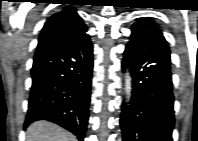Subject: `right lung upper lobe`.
<instances>
[{
    "mask_svg": "<svg viewBox=\"0 0 198 141\" xmlns=\"http://www.w3.org/2000/svg\"><path fill=\"white\" fill-rule=\"evenodd\" d=\"M86 31V25L76 11L64 8L46 21L39 36L36 54L68 43Z\"/></svg>",
    "mask_w": 198,
    "mask_h": 141,
    "instance_id": "cb5924a9",
    "label": "right lung upper lobe"
}]
</instances>
